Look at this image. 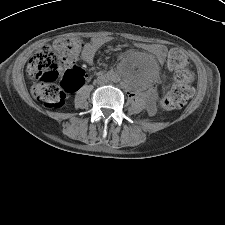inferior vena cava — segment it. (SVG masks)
Wrapping results in <instances>:
<instances>
[{"instance_id":"602c4592","label":"inferior vena cava","mask_w":225,"mask_h":225,"mask_svg":"<svg viewBox=\"0 0 225 225\" xmlns=\"http://www.w3.org/2000/svg\"><path fill=\"white\" fill-rule=\"evenodd\" d=\"M97 83L100 85L105 84L107 83V79L105 77H98Z\"/></svg>"}]
</instances>
